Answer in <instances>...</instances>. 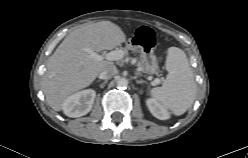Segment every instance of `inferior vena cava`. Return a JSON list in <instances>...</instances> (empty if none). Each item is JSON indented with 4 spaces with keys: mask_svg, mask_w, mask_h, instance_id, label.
<instances>
[{
    "mask_svg": "<svg viewBox=\"0 0 248 158\" xmlns=\"http://www.w3.org/2000/svg\"><path fill=\"white\" fill-rule=\"evenodd\" d=\"M116 71H117V69L114 65H109L100 72L99 78L100 79H109L116 74Z\"/></svg>",
    "mask_w": 248,
    "mask_h": 158,
    "instance_id": "inferior-vena-cava-1",
    "label": "inferior vena cava"
}]
</instances>
